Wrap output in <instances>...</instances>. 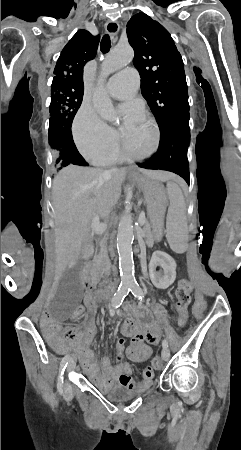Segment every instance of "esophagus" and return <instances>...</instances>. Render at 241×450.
Wrapping results in <instances>:
<instances>
[{"mask_svg": "<svg viewBox=\"0 0 241 450\" xmlns=\"http://www.w3.org/2000/svg\"><path fill=\"white\" fill-rule=\"evenodd\" d=\"M105 30L112 38H114L119 32V24L113 20H109L105 23Z\"/></svg>", "mask_w": 241, "mask_h": 450, "instance_id": "1", "label": "esophagus"}]
</instances>
